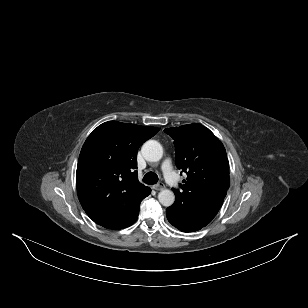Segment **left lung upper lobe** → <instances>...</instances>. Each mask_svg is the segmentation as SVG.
I'll use <instances>...</instances> for the list:
<instances>
[{
    "instance_id": "left-lung-upper-lobe-1",
    "label": "left lung upper lobe",
    "mask_w": 308,
    "mask_h": 308,
    "mask_svg": "<svg viewBox=\"0 0 308 308\" xmlns=\"http://www.w3.org/2000/svg\"><path fill=\"white\" fill-rule=\"evenodd\" d=\"M174 139L178 169L187 174L176 201L188 205L230 186L229 162L222 142L205 126L188 124L164 130Z\"/></svg>"
}]
</instances>
